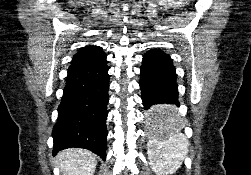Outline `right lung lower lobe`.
Returning <instances> with one entry per match:
<instances>
[{
	"label": "right lung lower lobe",
	"mask_w": 251,
	"mask_h": 175,
	"mask_svg": "<svg viewBox=\"0 0 251 175\" xmlns=\"http://www.w3.org/2000/svg\"><path fill=\"white\" fill-rule=\"evenodd\" d=\"M108 89L106 54L98 60L69 67L52 132L53 155L65 148L79 147L105 160Z\"/></svg>",
	"instance_id": "obj_1"
}]
</instances>
